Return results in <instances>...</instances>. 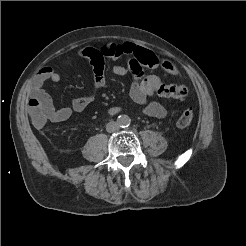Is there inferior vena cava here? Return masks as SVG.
Returning <instances> with one entry per match:
<instances>
[{
    "mask_svg": "<svg viewBox=\"0 0 246 246\" xmlns=\"http://www.w3.org/2000/svg\"><path fill=\"white\" fill-rule=\"evenodd\" d=\"M107 132H116L119 130V124L117 122L111 121L106 125Z\"/></svg>",
    "mask_w": 246,
    "mask_h": 246,
    "instance_id": "obj_1",
    "label": "inferior vena cava"
}]
</instances>
